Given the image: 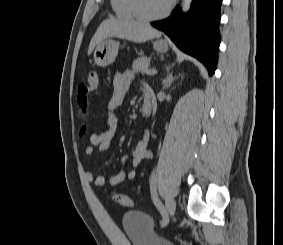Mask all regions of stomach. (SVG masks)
<instances>
[{"instance_id": "0dacf381", "label": "stomach", "mask_w": 283, "mask_h": 245, "mask_svg": "<svg viewBox=\"0 0 283 245\" xmlns=\"http://www.w3.org/2000/svg\"><path fill=\"white\" fill-rule=\"evenodd\" d=\"M157 52L164 53L168 50V45L163 40H157L153 44ZM119 42L106 39L101 41L94 51V62L97 66L105 67L112 64L118 54Z\"/></svg>"}]
</instances>
